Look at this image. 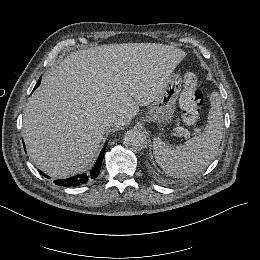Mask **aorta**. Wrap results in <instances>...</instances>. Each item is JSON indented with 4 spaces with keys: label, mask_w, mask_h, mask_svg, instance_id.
<instances>
[{
    "label": "aorta",
    "mask_w": 260,
    "mask_h": 260,
    "mask_svg": "<svg viewBox=\"0 0 260 260\" xmlns=\"http://www.w3.org/2000/svg\"><path fill=\"white\" fill-rule=\"evenodd\" d=\"M124 144L132 151H140L146 147V135L138 130H129L124 134Z\"/></svg>",
    "instance_id": "1"
}]
</instances>
